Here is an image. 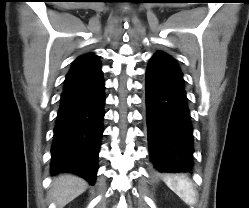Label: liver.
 Listing matches in <instances>:
<instances>
[{"label":"liver","instance_id":"1","mask_svg":"<svg viewBox=\"0 0 249 208\" xmlns=\"http://www.w3.org/2000/svg\"><path fill=\"white\" fill-rule=\"evenodd\" d=\"M86 189L87 182L84 179L71 174H61L52 183L51 197L58 208H63Z\"/></svg>","mask_w":249,"mask_h":208}]
</instances>
